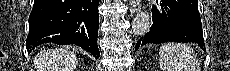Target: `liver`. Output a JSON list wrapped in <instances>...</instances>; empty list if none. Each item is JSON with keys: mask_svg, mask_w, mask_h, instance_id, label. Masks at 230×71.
Here are the masks:
<instances>
[{"mask_svg": "<svg viewBox=\"0 0 230 71\" xmlns=\"http://www.w3.org/2000/svg\"><path fill=\"white\" fill-rule=\"evenodd\" d=\"M37 71H74L78 59L74 52L56 48L40 52L34 60Z\"/></svg>", "mask_w": 230, "mask_h": 71, "instance_id": "1", "label": "liver"}]
</instances>
